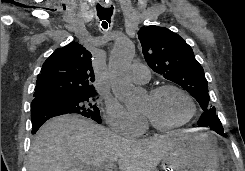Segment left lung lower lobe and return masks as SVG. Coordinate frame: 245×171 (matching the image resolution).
Returning <instances> with one entry per match:
<instances>
[{
  "instance_id": "obj_1",
  "label": "left lung lower lobe",
  "mask_w": 245,
  "mask_h": 171,
  "mask_svg": "<svg viewBox=\"0 0 245 171\" xmlns=\"http://www.w3.org/2000/svg\"><path fill=\"white\" fill-rule=\"evenodd\" d=\"M199 127H209L219 135L225 137L223 126L216 113L204 112L197 122Z\"/></svg>"
}]
</instances>
